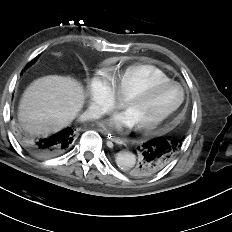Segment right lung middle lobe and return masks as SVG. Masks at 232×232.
<instances>
[{"label": "right lung middle lobe", "instance_id": "1", "mask_svg": "<svg viewBox=\"0 0 232 232\" xmlns=\"http://www.w3.org/2000/svg\"><path fill=\"white\" fill-rule=\"evenodd\" d=\"M38 57H39V56H37L36 58H34V59L26 66V68H28V66H30L33 62H35V61L37 60Z\"/></svg>", "mask_w": 232, "mask_h": 232}]
</instances>
